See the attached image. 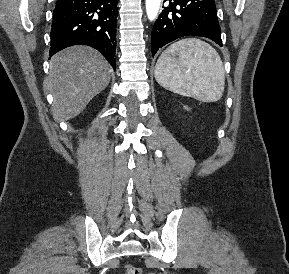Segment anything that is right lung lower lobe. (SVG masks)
<instances>
[{"label":"right lung lower lobe","instance_id":"1","mask_svg":"<svg viewBox=\"0 0 289 274\" xmlns=\"http://www.w3.org/2000/svg\"><path fill=\"white\" fill-rule=\"evenodd\" d=\"M118 0H57L50 56L72 45L100 51L115 70Z\"/></svg>","mask_w":289,"mask_h":274}]
</instances>
